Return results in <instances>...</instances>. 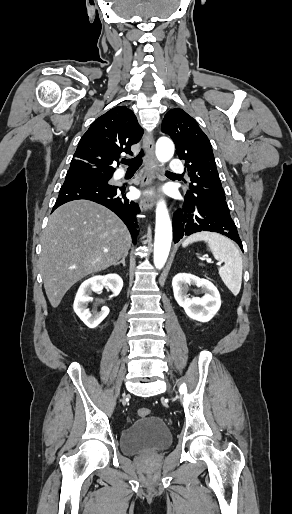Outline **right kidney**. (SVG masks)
Segmentation results:
<instances>
[{"mask_svg":"<svg viewBox=\"0 0 292 514\" xmlns=\"http://www.w3.org/2000/svg\"><path fill=\"white\" fill-rule=\"evenodd\" d=\"M104 286H108L114 296H118L123 288V280L118 274H107V276H93L89 280H85L81 284L73 304V310L80 320L88 326V328H96L101 324L102 320L109 314V308L103 306L101 312H93L88 310V302H92L90 298L91 292H101Z\"/></svg>","mask_w":292,"mask_h":514,"instance_id":"obj_1","label":"right kidney"}]
</instances>
